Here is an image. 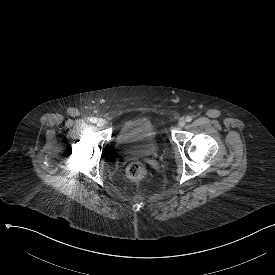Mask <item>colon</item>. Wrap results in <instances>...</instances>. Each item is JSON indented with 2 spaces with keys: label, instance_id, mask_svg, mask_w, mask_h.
I'll return each instance as SVG.
<instances>
[{
  "label": "colon",
  "instance_id": "obj_1",
  "mask_svg": "<svg viewBox=\"0 0 275 275\" xmlns=\"http://www.w3.org/2000/svg\"><path fill=\"white\" fill-rule=\"evenodd\" d=\"M127 177L136 182L147 181L149 179V171L145 166L139 163H131L126 169Z\"/></svg>",
  "mask_w": 275,
  "mask_h": 275
}]
</instances>
